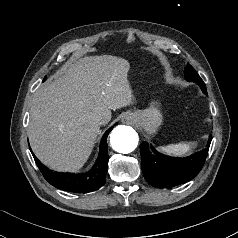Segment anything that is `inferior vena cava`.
<instances>
[{"instance_id": "obj_1", "label": "inferior vena cava", "mask_w": 238, "mask_h": 238, "mask_svg": "<svg viewBox=\"0 0 238 238\" xmlns=\"http://www.w3.org/2000/svg\"><path fill=\"white\" fill-rule=\"evenodd\" d=\"M97 123H98L99 125H103V124H106L107 121H106L105 119H103V118H100V119H98Z\"/></svg>"}]
</instances>
